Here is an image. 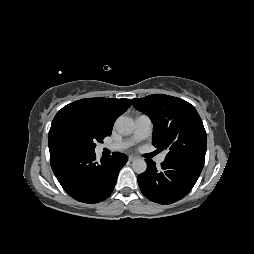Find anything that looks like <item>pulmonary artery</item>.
I'll return each instance as SVG.
<instances>
[{
  "mask_svg": "<svg viewBox=\"0 0 254 254\" xmlns=\"http://www.w3.org/2000/svg\"><path fill=\"white\" fill-rule=\"evenodd\" d=\"M152 130V121L149 116L147 115H140L135 120V129L133 134L119 142H116L111 145H105V147L110 148L112 150H124L131 146H133L135 143L147 138ZM165 159V154H161L157 157V163L163 162Z\"/></svg>",
  "mask_w": 254,
  "mask_h": 254,
  "instance_id": "1",
  "label": "pulmonary artery"
}]
</instances>
